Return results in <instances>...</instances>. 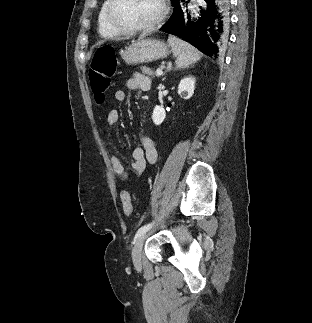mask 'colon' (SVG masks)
I'll use <instances>...</instances> for the list:
<instances>
[{"mask_svg":"<svg viewBox=\"0 0 312 323\" xmlns=\"http://www.w3.org/2000/svg\"><path fill=\"white\" fill-rule=\"evenodd\" d=\"M116 71L117 62L114 48L111 45L98 48L92 58L91 69L89 71L91 90L98 99H103L104 93L112 82V78L116 76ZM122 198L125 217H132V194L125 191Z\"/></svg>","mask_w":312,"mask_h":323,"instance_id":"1","label":"colon"}]
</instances>
